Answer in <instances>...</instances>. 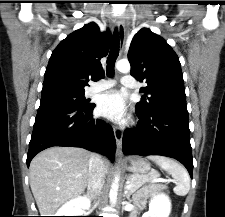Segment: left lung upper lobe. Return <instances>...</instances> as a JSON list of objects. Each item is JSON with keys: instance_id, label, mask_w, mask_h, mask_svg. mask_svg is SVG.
<instances>
[{"instance_id": "1", "label": "left lung upper lobe", "mask_w": 225, "mask_h": 217, "mask_svg": "<svg viewBox=\"0 0 225 217\" xmlns=\"http://www.w3.org/2000/svg\"><path fill=\"white\" fill-rule=\"evenodd\" d=\"M128 59L131 75L147 85L140 89L142 96L136 104L141 112L159 107H186L181 64L170 45L148 28H142L132 39Z\"/></svg>"}]
</instances>
